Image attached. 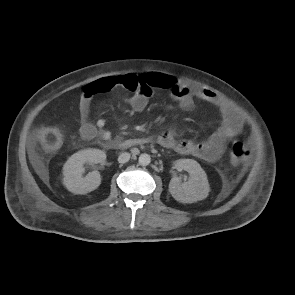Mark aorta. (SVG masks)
Masks as SVG:
<instances>
[{"label": "aorta", "mask_w": 295, "mask_h": 295, "mask_svg": "<svg viewBox=\"0 0 295 295\" xmlns=\"http://www.w3.org/2000/svg\"><path fill=\"white\" fill-rule=\"evenodd\" d=\"M138 161H139V164L140 165L147 166L151 162V157L148 154L144 153V154H141L139 156V160Z\"/></svg>", "instance_id": "aorta-1"}]
</instances>
